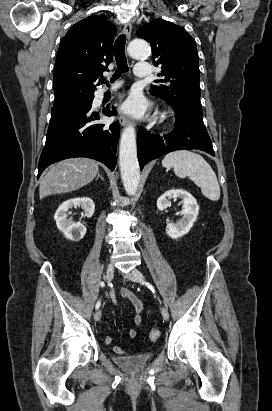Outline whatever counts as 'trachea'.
Here are the masks:
<instances>
[{"label":"trachea","mask_w":272,"mask_h":411,"mask_svg":"<svg viewBox=\"0 0 272 411\" xmlns=\"http://www.w3.org/2000/svg\"><path fill=\"white\" fill-rule=\"evenodd\" d=\"M125 43L126 35L124 34H121L114 43V55L116 59L117 69L111 78V82L117 80L122 73L127 72L129 69L125 55ZM99 81L108 85V81L104 77L100 78Z\"/></svg>","instance_id":"1"}]
</instances>
